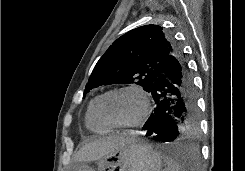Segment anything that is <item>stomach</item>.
Segmentation results:
<instances>
[{"label": "stomach", "instance_id": "1", "mask_svg": "<svg viewBox=\"0 0 245 171\" xmlns=\"http://www.w3.org/2000/svg\"><path fill=\"white\" fill-rule=\"evenodd\" d=\"M164 162L159 151L139 140L125 144L97 161V171H163ZM74 171H95L80 164Z\"/></svg>", "mask_w": 245, "mask_h": 171}]
</instances>
